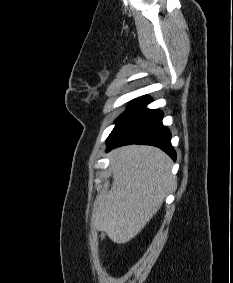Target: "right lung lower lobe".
<instances>
[{
	"mask_svg": "<svg viewBox=\"0 0 233 283\" xmlns=\"http://www.w3.org/2000/svg\"><path fill=\"white\" fill-rule=\"evenodd\" d=\"M150 101L149 97H144L135 102L107 138V152L127 144H148L161 148L173 160L176 159L170 131L162 124L163 113L146 108Z\"/></svg>",
	"mask_w": 233,
	"mask_h": 283,
	"instance_id": "right-lung-lower-lobe-1",
	"label": "right lung lower lobe"
}]
</instances>
